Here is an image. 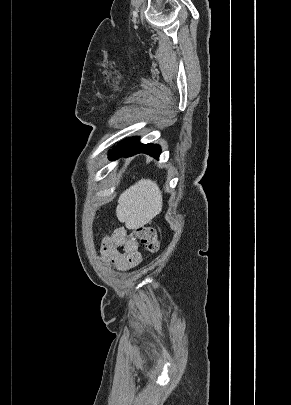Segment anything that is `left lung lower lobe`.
Returning <instances> with one entry per match:
<instances>
[{
  "instance_id": "0a47b994",
  "label": "left lung lower lobe",
  "mask_w": 291,
  "mask_h": 405,
  "mask_svg": "<svg viewBox=\"0 0 291 405\" xmlns=\"http://www.w3.org/2000/svg\"><path fill=\"white\" fill-rule=\"evenodd\" d=\"M161 149L158 145L154 144H141L139 137H132L118 143L117 146L110 151V158L116 159L121 155L132 156L138 153H146L152 157L159 158Z\"/></svg>"
}]
</instances>
